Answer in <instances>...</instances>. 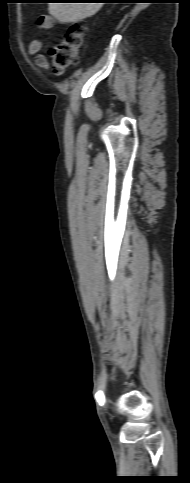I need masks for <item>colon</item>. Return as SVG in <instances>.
Wrapping results in <instances>:
<instances>
[{"label":"colon","mask_w":190,"mask_h":483,"mask_svg":"<svg viewBox=\"0 0 190 483\" xmlns=\"http://www.w3.org/2000/svg\"><path fill=\"white\" fill-rule=\"evenodd\" d=\"M85 32L86 26L83 22L72 23L63 41L50 51L52 70L55 74H63L78 62V53L83 44Z\"/></svg>","instance_id":"1"}]
</instances>
